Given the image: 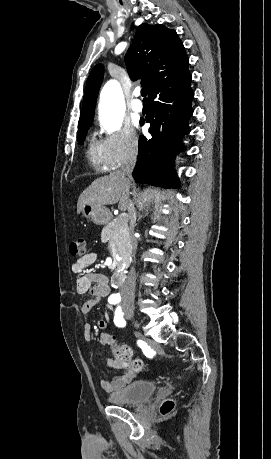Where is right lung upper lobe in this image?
Returning a JSON list of instances; mask_svg holds the SVG:
<instances>
[{"mask_svg":"<svg viewBox=\"0 0 271 459\" xmlns=\"http://www.w3.org/2000/svg\"><path fill=\"white\" fill-rule=\"evenodd\" d=\"M125 61L130 78L142 79L148 95L167 79L187 72L189 66L176 31L161 24L143 23L137 28ZM102 78L103 66L99 64L88 77L79 122L93 119Z\"/></svg>","mask_w":271,"mask_h":459,"instance_id":"cb5924a9","label":"right lung upper lobe"}]
</instances>
